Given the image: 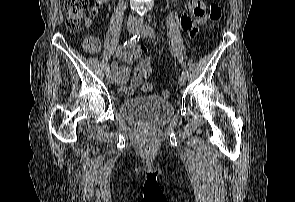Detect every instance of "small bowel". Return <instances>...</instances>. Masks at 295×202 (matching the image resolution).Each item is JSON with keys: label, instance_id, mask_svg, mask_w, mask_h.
Wrapping results in <instances>:
<instances>
[{"label": "small bowel", "instance_id": "small-bowel-1", "mask_svg": "<svg viewBox=\"0 0 295 202\" xmlns=\"http://www.w3.org/2000/svg\"><path fill=\"white\" fill-rule=\"evenodd\" d=\"M110 0H95L94 4L90 8L89 15L91 18H95L99 15L102 7ZM208 6L202 0H189L188 1V13H184L180 19V25L182 30L186 31L189 35L194 36L197 32L199 25L206 21V13ZM87 25L91 24V20L86 21ZM84 45L87 51L91 53H97L100 49V41L95 36H88L84 40ZM144 47H133L128 51H120L117 53V58L124 62L123 65L113 63L112 68L117 76V84L120 90L128 96H133L139 92H150L151 90H142L141 84L143 79H150V74L137 75L135 68L131 84L127 86V81L130 76L129 65L137 60Z\"/></svg>", "mask_w": 295, "mask_h": 202}]
</instances>
